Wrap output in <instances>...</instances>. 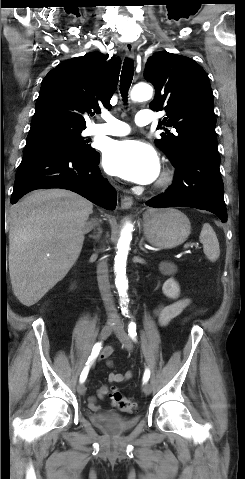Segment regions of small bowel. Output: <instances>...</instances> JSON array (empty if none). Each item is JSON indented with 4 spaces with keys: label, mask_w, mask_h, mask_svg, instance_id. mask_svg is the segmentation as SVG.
<instances>
[{
    "label": "small bowel",
    "mask_w": 245,
    "mask_h": 479,
    "mask_svg": "<svg viewBox=\"0 0 245 479\" xmlns=\"http://www.w3.org/2000/svg\"><path fill=\"white\" fill-rule=\"evenodd\" d=\"M191 306V301L188 298L180 299L171 304H161L158 305L155 309V315L161 325H167L179 315H181L185 310H187ZM113 350L110 347H106L103 349L100 358L107 360V364L111 365V362L108 360L110 355L112 354ZM133 373L132 371H127L125 373L119 372H112L108 377V382L110 384H118L125 382L132 378ZM108 391V387L106 385L102 386L98 391V397L103 398ZM89 407L97 411L99 410V405L96 402L95 397H91L89 399Z\"/></svg>",
    "instance_id": "small-bowel-1"
}]
</instances>
